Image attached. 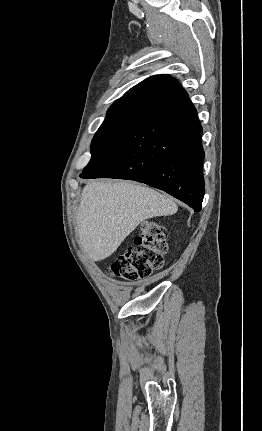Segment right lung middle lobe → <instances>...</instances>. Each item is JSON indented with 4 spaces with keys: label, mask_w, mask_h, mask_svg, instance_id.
I'll list each match as a JSON object with an SVG mask.
<instances>
[{
    "label": "right lung middle lobe",
    "mask_w": 262,
    "mask_h": 431,
    "mask_svg": "<svg viewBox=\"0 0 262 431\" xmlns=\"http://www.w3.org/2000/svg\"><path fill=\"white\" fill-rule=\"evenodd\" d=\"M131 126L125 124L101 125L92 140L91 160L84 170L91 167Z\"/></svg>",
    "instance_id": "dd1d6c3e"
}]
</instances>
